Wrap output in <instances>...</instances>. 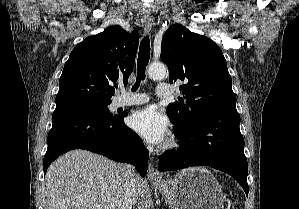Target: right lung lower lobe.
<instances>
[{"label":"right lung lower lobe","instance_id":"right-lung-lower-lobe-1","mask_svg":"<svg viewBox=\"0 0 299 209\" xmlns=\"http://www.w3.org/2000/svg\"><path fill=\"white\" fill-rule=\"evenodd\" d=\"M52 121L43 160L44 173L58 156L73 149H84L133 164L142 177L146 175L149 153L136 133L124 124L123 116L104 120L80 108L59 105Z\"/></svg>","mask_w":299,"mask_h":209}]
</instances>
